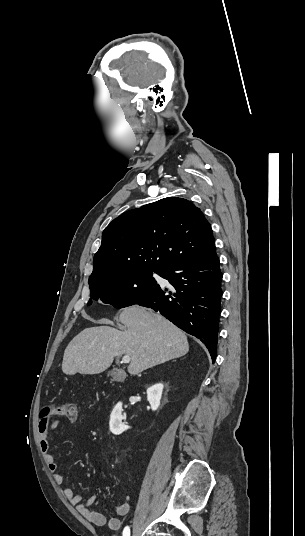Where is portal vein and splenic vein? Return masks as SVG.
Returning a JSON list of instances; mask_svg holds the SVG:
<instances>
[{"mask_svg": "<svg viewBox=\"0 0 305 536\" xmlns=\"http://www.w3.org/2000/svg\"><path fill=\"white\" fill-rule=\"evenodd\" d=\"M130 360V356H123L121 364H129Z\"/></svg>", "mask_w": 305, "mask_h": 536, "instance_id": "portal-vein-and-splenic-vein-1", "label": "portal vein and splenic vein"}]
</instances>
